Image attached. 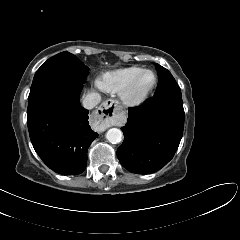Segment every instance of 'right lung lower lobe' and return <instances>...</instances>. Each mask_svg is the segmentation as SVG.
I'll return each mask as SVG.
<instances>
[{"mask_svg": "<svg viewBox=\"0 0 240 240\" xmlns=\"http://www.w3.org/2000/svg\"><path fill=\"white\" fill-rule=\"evenodd\" d=\"M82 84H50L28 99L27 124L32 145L42 161L62 175L81 174L87 150L98 137L80 106Z\"/></svg>", "mask_w": 240, "mask_h": 240, "instance_id": "98d812e1", "label": "right lung lower lobe"}]
</instances>
